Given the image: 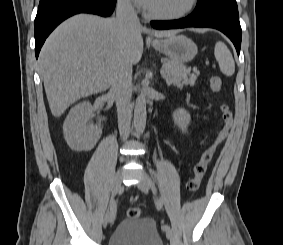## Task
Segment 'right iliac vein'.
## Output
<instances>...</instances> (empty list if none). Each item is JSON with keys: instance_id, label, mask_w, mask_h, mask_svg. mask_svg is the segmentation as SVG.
Wrapping results in <instances>:
<instances>
[{"instance_id": "obj_1", "label": "right iliac vein", "mask_w": 283, "mask_h": 245, "mask_svg": "<svg viewBox=\"0 0 283 245\" xmlns=\"http://www.w3.org/2000/svg\"><path fill=\"white\" fill-rule=\"evenodd\" d=\"M122 184V172L118 170L112 184V194L117 195L121 189ZM112 222L110 211L108 210L103 219V227L106 228L109 223Z\"/></svg>"}]
</instances>
